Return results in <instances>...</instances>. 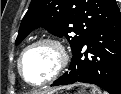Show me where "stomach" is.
Wrapping results in <instances>:
<instances>
[{
  "label": "stomach",
  "instance_id": "0dacf381",
  "mask_svg": "<svg viewBox=\"0 0 121 94\" xmlns=\"http://www.w3.org/2000/svg\"><path fill=\"white\" fill-rule=\"evenodd\" d=\"M47 94H101V91L92 85L76 83L72 86L59 88Z\"/></svg>",
  "mask_w": 121,
  "mask_h": 94
}]
</instances>
